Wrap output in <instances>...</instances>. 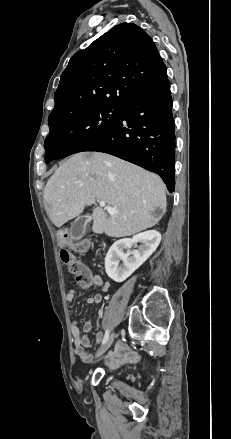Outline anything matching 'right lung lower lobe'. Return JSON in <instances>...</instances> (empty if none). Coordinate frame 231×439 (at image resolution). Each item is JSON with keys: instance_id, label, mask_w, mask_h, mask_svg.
I'll use <instances>...</instances> for the list:
<instances>
[{"instance_id": "right-lung-lower-lobe-1", "label": "right lung lower lobe", "mask_w": 231, "mask_h": 439, "mask_svg": "<svg viewBox=\"0 0 231 439\" xmlns=\"http://www.w3.org/2000/svg\"><path fill=\"white\" fill-rule=\"evenodd\" d=\"M175 128L169 81L133 97L117 124L84 151L104 152L157 173L175 189Z\"/></svg>"}]
</instances>
